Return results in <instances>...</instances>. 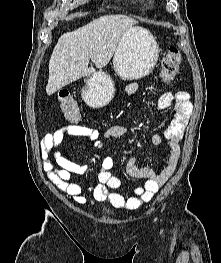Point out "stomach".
Here are the masks:
<instances>
[{
    "label": "stomach",
    "mask_w": 221,
    "mask_h": 263,
    "mask_svg": "<svg viewBox=\"0 0 221 263\" xmlns=\"http://www.w3.org/2000/svg\"><path fill=\"white\" fill-rule=\"evenodd\" d=\"M159 46L144 28L134 27L121 38L113 58L116 73L126 80H138L147 76L159 57ZM114 82L105 72L90 74L82 88L84 101L92 108H102L113 98Z\"/></svg>",
    "instance_id": "obj_1"
}]
</instances>
